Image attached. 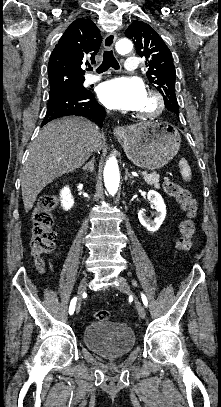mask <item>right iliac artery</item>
Listing matches in <instances>:
<instances>
[{
  "label": "right iliac artery",
  "instance_id": "obj_1",
  "mask_svg": "<svg viewBox=\"0 0 221 407\" xmlns=\"http://www.w3.org/2000/svg\"><path fill=\"white\" fill-rule=\"evenodd\" d=\"M76 301H77V298H75V297L71 300V303H70V306H69V314L70 315H72L74 310H75Z\"/></svg>",
  "mask_w": 221,
  "mask_h": 407
}]
</instances>
